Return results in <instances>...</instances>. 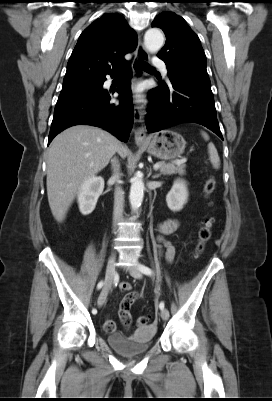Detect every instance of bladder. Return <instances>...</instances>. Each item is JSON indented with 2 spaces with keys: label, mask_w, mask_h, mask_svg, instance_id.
Returning a JSON list of instances; mask_svg holds the SVG:
<instances>
[{
  "label": "bladder",
  "mask_w": 272,
  "mask_h": 401,
  "mask_svg": "<svg viewBox=\"0 0 272 401\" xmlns=\"http://www.w3.org/2000/svg\"><path fill=\"white\" fill-rule=\"evenodd\" d=\"M155 333L154 326H142L131 335L110 333L107 341L116 352L124 356H137L148 352Z\"/></svg>",
  "instance_id": "31cf9c89"
}]
</instances>
